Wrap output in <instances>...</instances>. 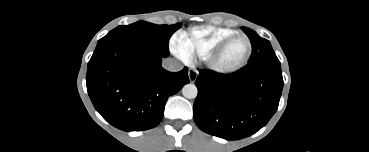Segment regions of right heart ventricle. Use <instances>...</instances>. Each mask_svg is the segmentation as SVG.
<instances>
[{
    "label": "right heart ventricle",
    "instance_id": "1",
    "mask_svg": "<svg viewBox=\"0 0 369 152\" xmlns=\"http://www.w3.org/2000/svg\"><path fill=\"white\" fill-rule=\"evenodd\" d=\"M236 30L216 26H198L182 32L177 37L181 56L188 62L204 60L209 52Z\"/></svg>",
    "mask_w": 369,
    "mask_h": 152
}]
</instances>
